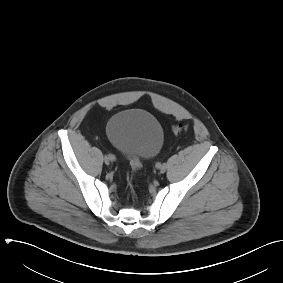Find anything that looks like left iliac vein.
<instances>
[{
	"label": "left iliac vein",
	"mask_w": 283,
	"mask_h": 283,
	"mask_svg": "<svg viewBox=\"0 0 283 283\" xmlns=\"http://www.w3.org/2000/svg\"><path fill=\"white\" fill-rule=\"evenodd\" d=\"M158 169H159V171L161 172V173H164L165 171H166V165H164V164H161L159 167H157Z\"/></svg>",
	"instance_id": "4c4485c4"
}]
</instances>
